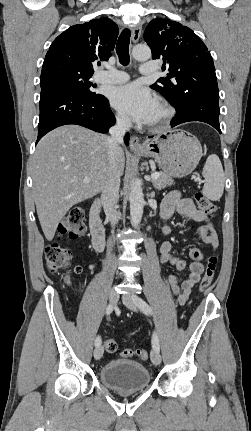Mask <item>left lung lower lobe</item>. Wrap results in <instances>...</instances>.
<instances>
[{"mask_svg": "<svg viewBox=\"0 0 251 431\" xmlns=\"http://www.w3.org/2000/svg\"><path fill=\"white\" fill-rule=\"evenodd\" d=\"M219 113L218 97L198 96L191 98L181 109L176 110V117L171 121V125L174 127L189 121H201L210 124L221 133Z\"/></svg>", "mask_w": 251, "mask_h": 431, "instance_id": "left-lung-lower-lobe-1", "label": "left lung lower lobe"}]
</instances>
